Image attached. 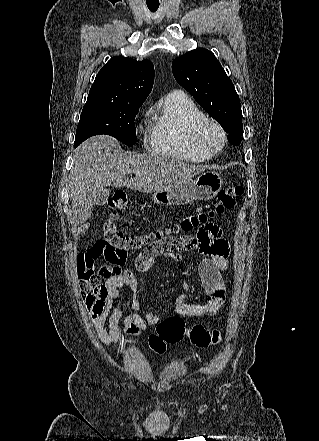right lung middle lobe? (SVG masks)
Segmentation results:
<instances>
[{
    "instance_id": "obj_1",
    "label": "right lung middle lobe",
    "mask_w": 319,
    "mask_h": 441,
    "mask_svg": "<svg viewBox=\"0 0 319 441\" xmlns=\"http://www.w3.org/2000/svg\"><path fill=\"white\" fill-rule=\"evenodd\" d=\"M141 105L118 103L85 104L77 126L74 146L87 138L108 134L128 146L136 143L134 119Z\"/></svg>"
}]
</instances>
